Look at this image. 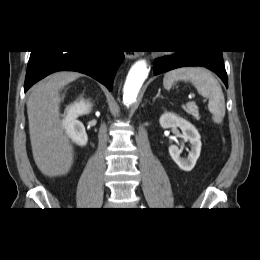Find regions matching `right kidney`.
Listing matches in <instances>:
<instances>
[{"label": "right kidney", "mask_w": 260, "mask_h": 260, "mask_svg": "<svg viewBox=\"0 0 260 260\" xmlns=\"http://www.w3.org/2000/svg\"><path fill=\"white\" fill-rule=\"evenodd\" d=\"M92 103L86 100H79L66 108L62 127L69 138L79 146H85L88 137L84 125L77 120L81 115H87L91 112Z\"/></svg>", "instance_id": "right-kidney-1"}]
</instances>
